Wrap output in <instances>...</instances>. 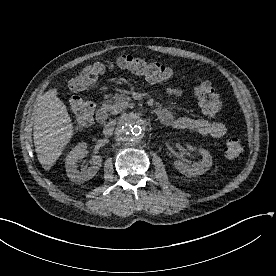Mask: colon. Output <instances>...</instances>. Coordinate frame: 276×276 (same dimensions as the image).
<instances>
[{
    "instance_id": "5ec220e1",
    "label": "colon",
    "mask_w": 276,
    "mask_h": 276,
    "mask_svg": "<svg viewBox=\"0 0 276 276\" xmlns=\"http://www.w3.org/2000/svg\"><path fill=\"white\" fill-rule=\"evenodd\" d=\"M122 69L139 75L153 83H165L171 76V70L159 63L146 61L131 55H123L113 62H96L85 67L79 75L71 79L69 89L73 93L88 90L108 70ZM196 94L204 113L208 116H215L220 108L221 102L214 88L208 80H200L196 87ZM71 113L79 127H85L92 123L94 116V104L86 99L74 97L70 103ZM243 147L236 138L227 140L224 146V155L234 159L242 154Z\"/></svg>"
}]
</instances>
